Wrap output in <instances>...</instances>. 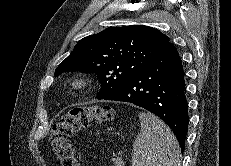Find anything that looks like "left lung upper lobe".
Returning a JSON list of instances; mask_svg holds the SVG:
<instances>
[{
	"mask_svg": "<svg viewBox=\"0 0 231 166\" xmlns=\"http://www.w3.org/2000/svg\"><path fill=\"white\" fill-rule=\"evenodd\" d=\"M169 43V37L149 26L110 27L81 39L55 75L69 71L97 74L102 85L97 98L102 99L152 62Z\"/></svg>",
	"mask_w": 231,
	"mask_h": 166,
	"instance_id": "obj_1",
	"label": "left lung upper lobe"
}]
</instances>
